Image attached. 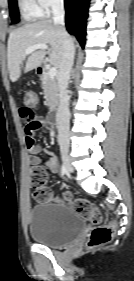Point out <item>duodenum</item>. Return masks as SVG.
Returning <instances> with one entry per match:
<instances>
[{"label":"duodenum","mask_w":134,"mask_h":281,"mask_svg":"<svg viewBox=\"0 0 134 281\" xmlns=\"http://www.w3.org/2000/svg\"><path fill=\"white\" fill-rule=\"evenodd\" d=\"M37 73L39 76H43L45 74V69L43 67H38ZM47 121L51 126H56L59 121L58 111L52 110L48 115Z\"/></svg>","instance_id":"obj_1"}]
</instances>
